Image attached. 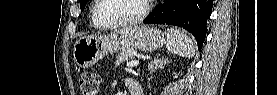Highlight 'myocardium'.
Here are the masks:
<instances>
[{
    "label": "myocardium",
    "instance_id": "myocardium-1",
    "mask_svg": "<svg viewBox=\"0 0 277 95\" xmlns=\"http://www.w3.org/2000/svg\"><path fill=\"white\" fill-rule=\"evenodd\" d=\"M143 3L142 11L139 15L136 17L130 18V19H120L115 21H105L101 19L97 15V9L103 2V0H97L96 4L92 8V19L99 24L100 26L104 28H113V27H121V26H128V25H134L139 22H141L148 14L150 6H149V0H141Z\"/></svg>",
    "mask_w": 277,
    "mask_h": 95
}]
</instances>
